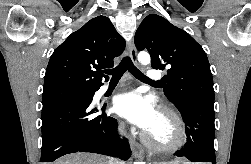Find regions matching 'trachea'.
<instances>
[{"instance_id":"3493384b","label":"trachea","mask_w":251,"mask_h":164,"mask_svg":"<svg viewBox=\"0 0 251 164\" xmlns=\"http://www.w3.org/2000/svg\"><path fill=\"white\" fill-rule=\"evenodd\" d=\"M128 70L137 79L148 82V83H158L148 79L140 70H138L129 57H124L120 64L114 69L106 70L105 73L112 75L111 82H118L123 76L125 71Z\"/></svg>"}]
</instances>
